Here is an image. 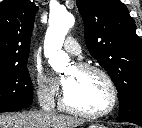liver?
Masks as SVG:
<instances>
[{
	"label": "liver",
	"mask_w": 142,
	"mask_h": 128,
	"mask_svg": "<svg viewBox=\"0 0 142 128\" xmlns=\"http://www.w3.org/2000/svg\"><path fill=\"white\" fill-rule=\"evenodd\" d=\"M80 123L74 117L43 111L0 114V128H76Z\"/></svg>",
	"instance_id": "obj_1"
}]
</instances>
